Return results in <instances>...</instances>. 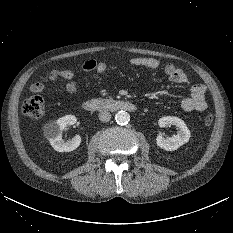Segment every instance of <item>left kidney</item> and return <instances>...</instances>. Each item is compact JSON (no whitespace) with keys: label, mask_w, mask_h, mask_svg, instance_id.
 <instances>
[{"label":"left kidney","mask_w":233,"mask_h":233,"mask_svg":"<svg viewBox=\"0 0 233 233\" xmlns=\"http://www.w3.org/2000/svg\"><path fill=\"white\" fill-rule=\"evenodd\" d=\"M158 124L160 127L175 125L178 129L177 135H173L168 139L164 138L161 134L156 137V144L160 148L166 151H174L189 141L191 136L190 130L180 118L172 116L162 117L159 119Z\"/></svg>","instance_id":"left-kidney-1"}]
</instances>
